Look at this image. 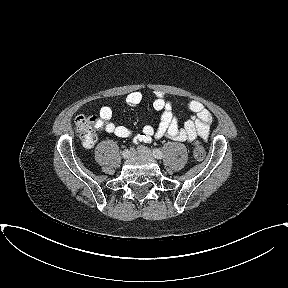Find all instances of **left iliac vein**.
Masks as SVG:
<instances>
[{
	"label": "left iliac vein",
	"instance_id": "1",
	"mask_svg": "<svg viewBox=\"0 0 288 288\" xmlns=\"http://www.w3.org/2000/svg\"><path fill=\"white\" fill-rule=\"evenodd\" d=\"M137 152L139 155L146 156L148 158H153L152 151L144 146H139L137 148Z\"/></svg>",
	"mask_w": 288,
	"mask_h": 288
}]
</instances>
